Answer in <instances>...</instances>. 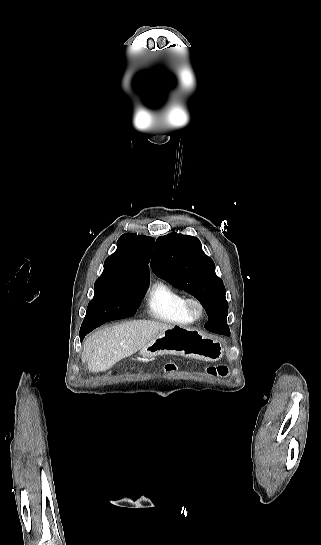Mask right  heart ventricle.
<instances>
[{
  "mask_svg": "<svg viewBox=\"0 0 321 545\" xmlns=\"http://www.w3.org/2000/svg\"><path fill=\"white\" fill-rule=\"evenodd\" d=\"M187 296L162 280H156L149 289L146 309L148 315L162 323L175 327L193 324L186 310Z\"/></svg>",
  "mask_w": 321,
  "mask_h": 545,
  "instance_id": "e07e8e85",
  "label": "right heart ventricle"
}]
</instances>
